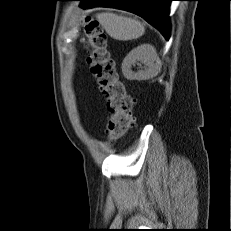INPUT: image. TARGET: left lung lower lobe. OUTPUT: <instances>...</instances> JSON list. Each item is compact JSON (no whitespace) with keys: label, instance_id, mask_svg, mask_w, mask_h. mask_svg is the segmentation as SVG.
<instances>
[{"label":"left lung lower lobe","instance_id":"obj_1","mask_svg":"<svg viewBox=\"0 0 231 231\" xmlns=\"http://www.w3.org/2000/svg\"><path fill=\"white\" fill-rule=\"evenodd\" d=\"M82 8L113 7L135 13L157 28L166 40L170 34L169 7L174 0H76Z\"/></svg>","mask_w":231,"mask_h":231}]
</instances>
